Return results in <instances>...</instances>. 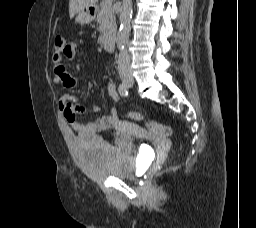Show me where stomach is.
<instances>
[{"label": "stomach", "instance_id": "0dacf381", "mask_svg": "<svg viewBox=\"0 0 256 228\" xmlns=\"http://www.w3.org/2000/svg\"><path fill=\"white\" fill-rule=\"evenodd\" d=\"M95 19V12L92 7L83 8L77 12V16L75 18L76 23L79 24H89Z\"/></svg>", "mask_w": 256, "mask_h": 228}]
</instances>
